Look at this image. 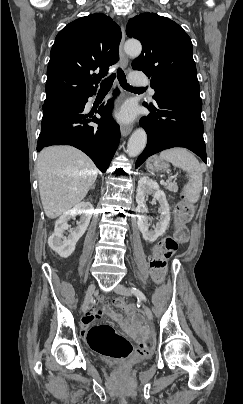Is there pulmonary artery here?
Listing matches in <instances>:
<instances>
[{"instance_id": "pulmonary-artery-1", "label": "pulmonary artery", "mask_w": 243, "mask_h": 404, "mask_svg": "<svg viewBox=\"0 0 243 404\" xmlns=\"http://www.w3.org/2000/svg\"><path fill=\"white\" fill-rule=\"evenodd\" d=\"M149 93H150V95H154L155 94V89L149 84Z\"/></svg>"}]
</instances>
